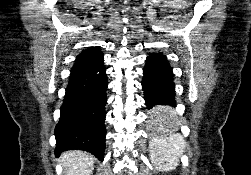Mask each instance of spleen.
Listing matches in <instances>:
<instances>
[{
  "instance_id": "obj_1",
  "label": "spleen",
  "mask_w": 251,
  "mask_h": 175,
  "mask_svg": "<svg viewBox=\"0 0 251 175\" xmlns=\"http://www.w3.org/2000/svg\"><path fill=\"white\" fill-rule=\"evenodd\" d=\"M154 113V123L161 125V135L163 137H156L157 141L150 143V151L153 165L159 171H170L178 165L177 155H181L184 151L185 143L183 135L180 133H171V127H175V121H170L172 117L167 107H157Z\"/></svg>"
}]
</instances>
